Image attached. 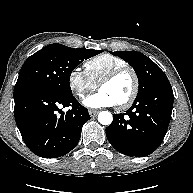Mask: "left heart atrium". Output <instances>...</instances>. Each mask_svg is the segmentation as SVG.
Masks as SVG:
<instances>
[{
	"label": "left heart atrium",
	"instance_id": "1",
	"mask_svg": "<svg viewBox=\"0 0 193 193\" xmlns=\"http://www.w3.org/2000/svg\"><path fill=\"white\" fill-rule=\"evenodd\" d=\"M83 104L89 108H102L116 105L114 100L106 92L101 90L86 97Z\"/></svg>",
	"mask_w": 193,
	"mask_h": 193
}]
</instances>
